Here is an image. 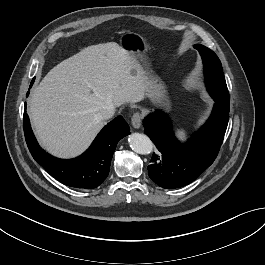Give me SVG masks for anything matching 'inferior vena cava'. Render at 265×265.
Returning a JSON list of instances; mask_svg holds the SVG:
<instances>
[{"instance_id": "1", "label": "inferior vena cava", "mask_w": 265, "mask_h": 265, "mask_svg": "<svg viewBox=\"0 0 265 265\" xmlns=\"http://www.w3.org/2000/svg\"><path fill=\"white\" fill-rule=\"evenodd\" d=\"M115 114V107L114 106H108L104 110H102L98 116L102 120L110 119Z\"/></svg>"}]
</instances>
